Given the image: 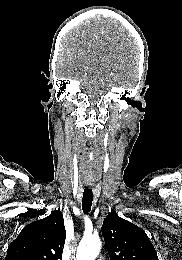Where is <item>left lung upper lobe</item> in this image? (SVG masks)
Masks as SVG:
<instances>
[{"label": "left lung upper lobe", "mask_w": 182, "mask_h": 260, "mask_svg": "<svg viewBox=\"0 0 182 260\" xmlns=\"http://www.w3.org/2000/svg\"><path fill=\"white\" fill-rule=\"evenodd\" d=\"M101 232L110 260H158L145 231L119 217L113 209L104 219Z\"/></svg>", "instance_id": "obj_1"}]
</instances>
